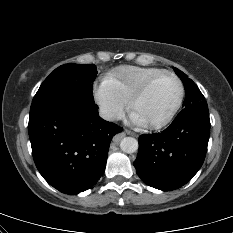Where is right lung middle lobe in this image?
<instances>
[{"label":"right lung middle lobe","instance_id":"obj_1","mask_svg":"<svg viewBox=\"0 0 233 233\" xmlns=\"http://www.w3.org/2000/svg\"><path fill=\"white\" fill-rule=\"evenodd\" d=\"M95 65L68 63L56 68L41 84L30 111L61 103H94Z\"/></svg>","mask_w":233,"mask_h":233}]
</instances>
